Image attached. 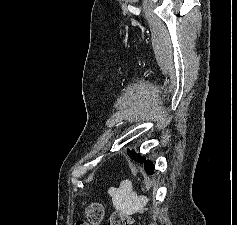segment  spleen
<instances>
[{"label": "spleen", "instance_id": "3e777b00", "mask_svg": "<svg viewBox=\"0 0 237 225\" xmlns=\"http://www.w3.org/2000/svg\"><path fill=\"white\" fill-rule=\"evenodd\" d=\"M108 195L112 198L115 209L123 215L140 212L148 202L145 196H138L133 191L132 184L128 180L122 181L119 188H109Z\"/></svg>", "mask_w": 237, "mask_h": 225}]
</instances>
